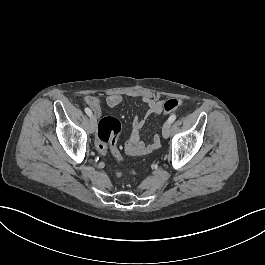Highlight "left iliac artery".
Here are the masks:
<instances>
[{"label": "left iliac artery", "instance_id": "left-iliac-artery-1", "mask_svg": "<svg viewBox=\"0 0 265 265\" xmlns=\"http://www.w3.org/2000/svg\"><path fill=\"white\" fill-rule=\"evenodd\" d=\"M175 120H176V115H175V114L171 115V116L168 118V122H169L170 124L173 123Z\"/></svg>", "mask_w": 265, "mask_h": 265}]
</instances>
